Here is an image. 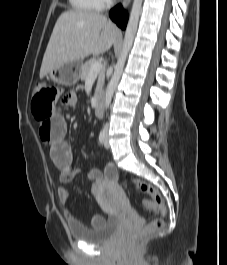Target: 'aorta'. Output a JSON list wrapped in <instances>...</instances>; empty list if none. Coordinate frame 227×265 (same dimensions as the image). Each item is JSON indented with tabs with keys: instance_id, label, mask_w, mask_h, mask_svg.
I'll use <instances>...</instances> for the list:
<instances>
[{
	"instance_id": "aorta-1",
	"label": "aorta",
	"mask_w": 227,
	"mask_h": 265,
	"mask_svg": "<svg viewBox=\"0 0 227 265\" xmlns=\"http://www.w3.org/2000/svg\"><path fill=\"white\" fill-rule=\"evenodd\" d=\"M141 9H142V0H134L130 12L129 21L125 31V37L122 45L121 54L118 58V61L114 69V73L106 89L105 102H104L106 109H108L111 104L112 97L119 83L128 53L133 45V41L138 28V21L141 14Z\"/></svg>"
}]
</instances>
